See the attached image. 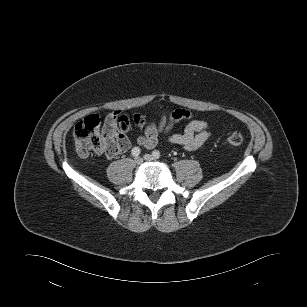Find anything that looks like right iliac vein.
<instances>
[{"mask_svg":"<svg viewBox=\"0 0 307 307\" xmlns=\"http://www.w3.org/2000/svg\"><path fill=\"white\" fill-rule=\"evenodd\" d=\"M134 161L137 165H141L143 163V159L141 157H136Z\"/></svg>","mask_w":307,"mask_h":307,"instance_id":"1","label":"right iliac vein"}]
</instances>
